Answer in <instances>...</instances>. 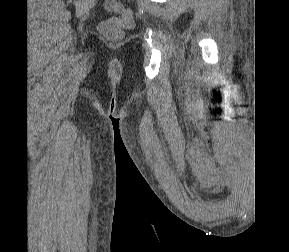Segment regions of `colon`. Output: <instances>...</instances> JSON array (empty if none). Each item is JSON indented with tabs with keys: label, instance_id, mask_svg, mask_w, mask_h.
I'll use <instances>...</instances> for the list:
<instances>
[{
	"label": "colon",
	"instance_id": "5ec220e1",
	"mask_svg": "<svg viewBox=\"0 0 289 252\" xmlns=\"http://www.w3.org/2000/svg\"><path fill=\"white\" fill-rule=\"evenodd\" d=\"M106 7L111 12L119 13L120 16L112 17L102 22L100 31L105 37L118 40L122 37V30L132 25L133 13L130 9L124 8L116 0H108Z\"/></svg>",
	"mask_w": 289,
	"mask_h": 252
}]
</instances>
